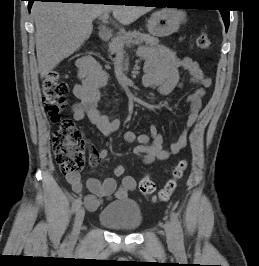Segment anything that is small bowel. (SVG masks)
<instances>
[{"label":"small bowel","instance_id":"obj_1","mask_svg":"<svg viewBox=\"0 0 259 266\" xmlns=\"http://www.w3.org/2000/svg\"><path fill=\"white\" fill-rule=\"evenodd\" d=\"M142 56L145 59L142 84L147 88L154 89L158 94L167 97L184 86V82L180 77L181 69L188 71L190 83L198 86L187 97L189 113L186 128L179 134L169 149L164 147V137L154 125L150 127V135L136 134L133 131L125 132V141L129 143L138 142V145L133 149L134 154L140 157L144 164L149 165L156 160L166 161L186 147L188 130L199 117L205 90L211 86L212 81L204 73L199 62L191 57L180 58L165 46L143 50ZM88 62L89 67L86 68L84 65ZM79 74L81 83L74 87V94L79 101L72 106L73 119L81 121L87 118L105 136L114 134L120 128V120L110 119L107 114L98 108L101 101L100 90L108 80L106 72L93 60L83 58L79 61ZM107 156L108 151L106 149L90 148V162L92 165H96ZM66 179L72 190L83 197L85 207L89 211L97 210L104 199H109L112 196L124 200L128 193L136 188L135 180L129 176L124 177L120 185H117L116 180L112 177H106L102 181L89 178L86 181V188L89 193L85 194L82 179L78 173L67 175Z\"/></svg>","mask_w":259,"mask_h":266}]
</instances>
